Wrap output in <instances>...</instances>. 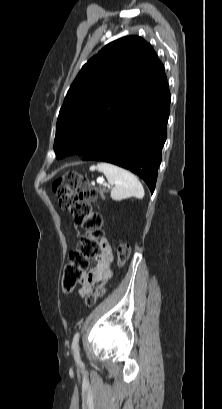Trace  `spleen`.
<instances>
[{
    "mask_svg": "<svg viewBox=\"0 0 222 409\" xmlns=\"http://www.w3.org/2000/svg\"><path fill=\"white\" fill-rule=\"evenodd\" d=\"M98 170L103 172L108 182L114 187L111 190V198L120 201L126 198L144 197V188L138 178L131 172L116 165L101 162L90 167V171Z\"/></svg>",
    "mask_w": 222,
    "mask_h": 409,
    "instance_id": "1",
    "label": "spleen"
}]
</instances>
